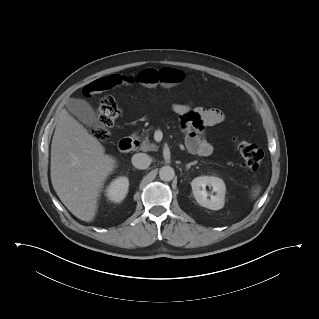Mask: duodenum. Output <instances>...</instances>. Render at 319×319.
Wrapping results in <instances>:
<instances>
[{
  "label": "duodenum",
  "instance_id": "duodenum-1",
  "mask_svg": "<svg viewBox=\"0 0 319 319\" xmlns=\"http://www.w3.org/2000/svg\"><path fill=\"white\" fill-rule=\"evenodd\" d=\"M136 140L133 138H123L119 142V150L121 152H129L136 146Z\"/></svg>",
  "mask_w": 319,
  "mask_h": 319
}]
</instances>
